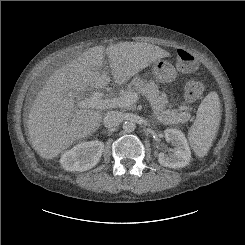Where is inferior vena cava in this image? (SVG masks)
Wrapping results in <instances>:
<instances>
[{
	"label": "inferior vena cava",
	"mask_w": 245,
	"mask_h": 245,
	"mask_svg": "<svg viewBox=\"0 0 245 245\" xmlns=\"http://www.w3.org/2000/svg\"><path fill=\"white\" fill-rule=\"evenodd\" d=\"M122 115L118 111H109L104 115L103 123L107 128L118 126L122 122Z\"/></svg>",
	"instance_id": "obj_1"
}]
</instances>
